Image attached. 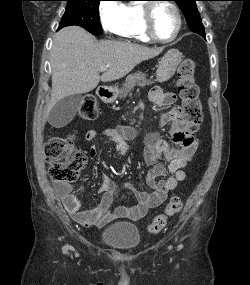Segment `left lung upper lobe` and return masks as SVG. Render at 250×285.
I'll use <instances>...</instances> for the list:
<instances>
[{
	"label": "left lung upper lobe",
	"mask_w": 250,
	"mask_h": 285,
	"mask_svg": "<svg viewBox=\"0 0 250 285\" xmlns=\"http://www.w3.org/2000/svg\"><path fill=\"white\" fill-rule=\"evenodd\" d=\"M175 1L179 8L182 10L185 19L189 25V28L203 36L205 35L204 26L202 24L199 11L196 6L197 0H173Z\"/></svg>",
	"instance_id": "5c2ea615"
}]
</instances>
